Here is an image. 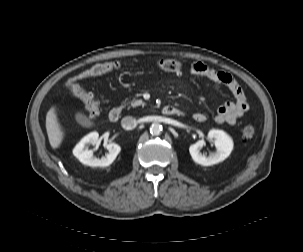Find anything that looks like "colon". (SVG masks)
<instances>
[{"mask_svg": "<svg viewBox=\"0 0 303 252\" xmlns=\"http://www.w3.org/2000/svg\"><path fill=\"white\" fill-rule=\"evenodd\" d=\"M149 66L172 73H180L183 69L182 63L173 59L152 60L149 62ZM120 68L121 64L118 61L97 63L82 71L70 81L69 87L71 92L75 95H78L83 100L85 110L90 116L95 117L98 114V102L91 93L83 90L79 84V81L87 77L112 73L119 70ZM255 133V127L250 124L245 125L242 130V134L245 138H251L255 135Z\"/></svg>", "mask_w": 303, "mask_h": 252, "instance_id": "obj_1", "label": "colon"}]
</instances>
